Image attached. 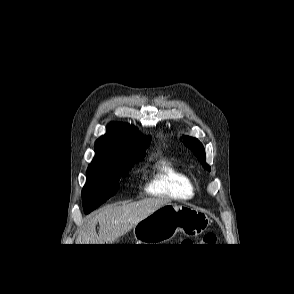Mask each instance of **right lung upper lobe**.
<instances>
[{
	"mask_svg": "<svg viewBox=\"0 0 294 294\" xmlns=\"http://www.w3.org/2000/svg\"><path fill=\"white\" fill-rule=\"evenodd\" d=\"M150 140V137L143 138L133 126L110 123L107 134L95 142L96 157H144Z\"/></svg>",
	"mask_w": 294,
	"mask_h": 294,
	"instance_id": "obj_1",
	"label": "right lung upper lobe"
}]
</instances>
